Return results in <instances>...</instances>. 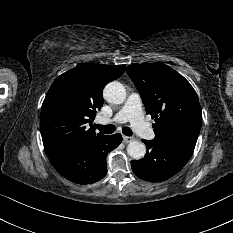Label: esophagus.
<instances>
[{
	"mask_svg": "<svg viewBox=\"0 0 233 233\" xmlns=\"http://www.w3.org/2000/svg\"><path fill=\"white\" fill-rule=\"evenodd\" d=\"M134 137H130V136H123V142L124 143H130L134 140Z\"/></svg>",
	"mask_w": 233,
	"mask_h": 233,
	"instance_id": "1",
	"label": "esophagus"
}]
</instances>
